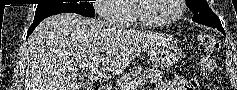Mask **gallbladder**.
<instances>
[{"mask_svg":"<svg viewBox=\"0 0 237 90\" xmlns=\"http://www.w3.org/2000/svg\"><path fill=\"white\" fill-rule=\"evenodd\" d=\"M83 90H90L89 86H83Z\"/></svg>","mask_w":237,"mask_h":90,"instance_id":"bac80fb5","label":"gallbladder"}]
</instances>
